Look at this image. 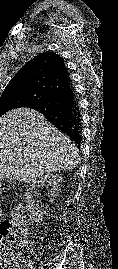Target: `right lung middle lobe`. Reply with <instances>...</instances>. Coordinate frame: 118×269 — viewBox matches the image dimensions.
Masks as SVG:
<instances>
[{
  "mask_svg": "<svg viewBox=\"0 0 118 269\" xmlns=\"http://www.w3.org/2000/svg\"><path fill=\"white\" fill-rule=\"evenodd\" d=\"M34 97L26 94H6L0 97V116L9 110L27 107Z\"/></svg>",
  "mask_w": 118,
  "mask_h": 269,
  "instance_id": "1",
  "label": "right lung middle lobe"
}]
</instances>
